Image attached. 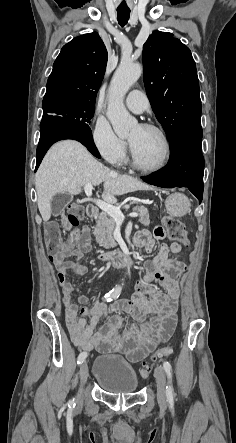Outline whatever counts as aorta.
<instances>
[{"label":"aorta","mask_w":236,"mask_h":443,"mask_svg":"<svg viewBox=\"0 0 236 443\" xmlns=\"http://www.w3.org/2000/svg\"><path fill=\"white\" fill-rule=\"evenodd\" d=\"M141 74L142 67L139 64L122 62L116 69L110 83L107 117L114 132L120 138L128 137L130 131L138 124L137 120L126 110L123 100Z\"/></svg>","instance_id":"aorta-1"}]
</instances>
